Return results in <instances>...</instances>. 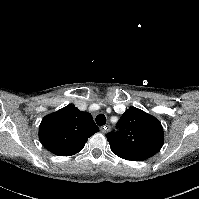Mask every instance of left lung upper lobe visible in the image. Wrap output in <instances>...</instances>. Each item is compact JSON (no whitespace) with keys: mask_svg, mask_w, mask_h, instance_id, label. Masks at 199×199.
<instances>
[{"mask_svg":"<svg viewBox=\"0 0 199 199\" xmlns=\"http://www.w3.org/2000/svg\"><path fill=\"white\" fill-rule=\"evenodd\" d=\"M118 131L108 133L114 154L126 160L142 161L155 155L163 146V127L159 120L144 111L130 107L122 114Z\"/></svg>","mask_w":199,"mask_h":199,"instance_id":"left-lung-upper-lobe-1","label":"left lung upper lobe"}]
</instances>
